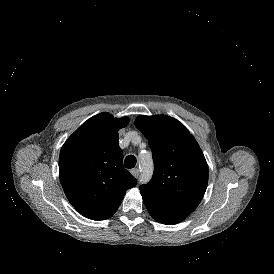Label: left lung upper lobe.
I'll use <instances>...</instances> for the list:
<instances>
[{
    "instance_id": "left-lung-upper-lobe-1",
    "label": "left lung upper lobe",
    "mask_w": 274,
    "mask_h": 274,
    "mask_svg": "<svg viewBox=\"0 0 274 274\" xmlns=\"http://www.w3.org/2000/svg\"><path fill=\"white\" fill-rule=\"evenodd\" d=\"M136 127L148 139L154 174L140 192L180 210L193 212L208 183V166L195 138L178 120L166 116H138Z\"/></svg>"
}]
</instances>
